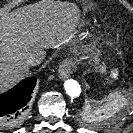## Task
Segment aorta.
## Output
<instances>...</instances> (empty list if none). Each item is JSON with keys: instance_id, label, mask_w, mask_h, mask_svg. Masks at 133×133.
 Segmentation results:
<instances>
[{"instance_id": "aorta-1", "label": "aorta", "mask_w": 133, "mask_h": 133, "mask_svg": "<svg viewBox=\"0 0 133 133\" xmlns=\"http://www.w3.org/2000/svg\"><path fill=\"white\" fill-rule=\"evenodd\" d=\"M64 89L68 96L76 98L81 94V87L76 80L68 79L64 82Z\"/></svg>"}]
</instances>
